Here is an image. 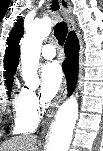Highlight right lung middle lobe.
<instances>
[{"instance_id": "dd1d6c3e", "label": "right lung middle lobe", "mask_w": 103, "mask_h": 151, "mask_svg": "<svg viewBox=\"0 0 103 151\" xmlns=\"http://www.w3.org/2000/svg\"><path fill=\"white\" fill-rule=\"evenodd\" d=\"M13 80H6V86L9 90L8 94L10 95L11 88H12Z\"/></svg>"}]
</instances>
